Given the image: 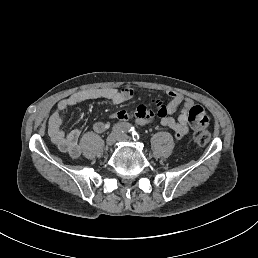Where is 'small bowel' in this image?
<instances>
[{
  "mask_svg": "<svg viewBox=\"0 0 258 258\" xmlns=\"http://www.w3.org/2000/svg\"><path fill=\"white\" fill-rule=\"evenodd\" d=\"M169 101L164 104L160 99H153L150 105H140L134 111L127 112L119 110L111 115L112 119L126 122L130 119L135 120L140 125L152 122L156 117L160 118L162 126L170 128L175 132L177 140L181 139L189 131V128H204L209 124V118L205 110L200 105L185 95L169 90L166 92ZM134 91L130 87L122 89L116 88H94L81 90L62 99L58 102L55 111L51 114L48 121V133L52 142L64 153L76 158L81 155L79 145L80 131L63 129V113L70 107L93 99H107L114 105L122 104L130 100ZM180 108L177 118L172 115ZM109 128V123L98 121L93 125L97 133H102Z\"/></svg>",
  "mask_w": 258,
  "mask_h": 258,
  "instance_id": "obj_1",
  "label": "small bowel"
}]
</instances>
